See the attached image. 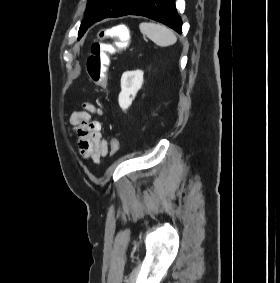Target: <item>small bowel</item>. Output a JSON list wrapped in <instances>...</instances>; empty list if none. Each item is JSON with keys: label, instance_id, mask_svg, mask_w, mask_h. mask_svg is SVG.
<instances>
[{"label": "small bowel", "instance_id": "obj_1", "mask_svg": "<svg viewBox=\"0 0 280 283\" xmlns=\"http://www.w3.org/2000/svg\"><path fill=\"white\" fill-rule=\"evenodd\" d=\"M102 114V110L90 103H85L83 109L72 113L70 124L77 137L80 156L99 163L102 157L113 152V145L117 139L108 142L102 137L101 123L92 117Z\"/></svg>", "mask_w": 280, "mask_h": 283}]
</instances>
